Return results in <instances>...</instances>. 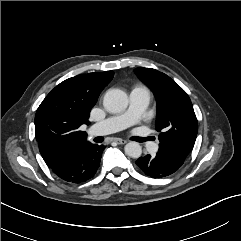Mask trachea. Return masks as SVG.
<instances>
[{
    "mask_svg": "<svg viewBox=\"0 0 241 241\" xmlns=\"http://www.w3.org/2000/svg\"><path fill=\"white\" fill-rule=\"evenodd\" d=\"M148 140V138H141L140 141Z\"/></svg>",
    "mask_w": 241,
    "mask_h": 241,
    "instance_id": "3493384b",
    "label": "trachea"
}]
</instances>
